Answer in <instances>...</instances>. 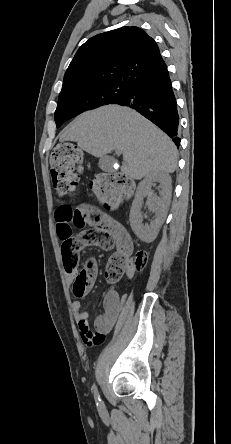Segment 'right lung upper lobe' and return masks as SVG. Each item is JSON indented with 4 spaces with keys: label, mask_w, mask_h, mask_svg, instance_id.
<instances>
[{
    "label": "right lung upper lobe",
    "mask_w": 231,
    "mask_h": 444,
    "mask_svg": "<svg viewBox=\"0 0 231 444\" xmlns=\"http://www.w3.org/2000/svg\"><path fill=\"white\" fill-rule=\"evenodd\" d=\"M167 70L156 42L138 27L98 34L75 54L61 92L121 83L132 85Z\"/></svg>",
    "instance_id": "1"
}]
</instances>
